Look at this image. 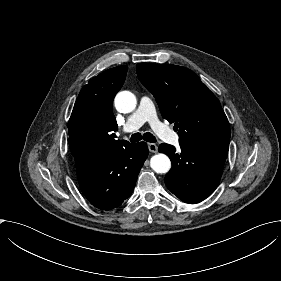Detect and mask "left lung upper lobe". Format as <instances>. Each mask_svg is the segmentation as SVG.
<instances>
[{
	"label": "left lung upper lobe",
	"mask_w": 281,
	"mask_h": 281,
	"mask_svg": "<svg viewBox=\"0 0 281 281\" xmlns=\"http://www.w3.org/2000/svg\"><path fill=\"white\" fill-rule=\"evenodd\" d=\"M141 83L163 118L175 123L181 147L228 150L230 127L219 100L191 70L171 64H137Z\"/></svg>",
	"instance_id": "left-lung-upper-lobe-1"
}]
</instances>
